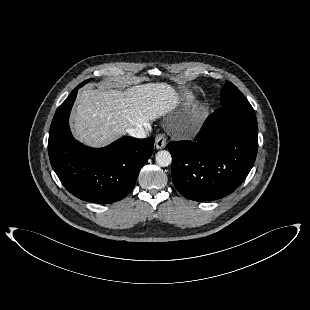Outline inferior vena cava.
<instances>
[{
    "label": "inferior vena cava",
    "mask_w": 310,
    "mask_h": 310,
    "mask_svg": "<svg viewBox=\"0 0 310 310\" xmlns=\"http://www.w3.org/2000/svg\"><path fill=\"white\" fill-rule=\"evenodd\" d=\"M150 131V126L145 125V127L139 126L135 128H128L126 132L135 138H146Z\"/></svg>",
    "instance_id": "1"
}]
</instances>
